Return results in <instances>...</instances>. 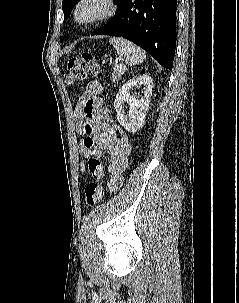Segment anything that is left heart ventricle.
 Listing matches in <instances>:
<instances>
[{
	"instance_id": "obj_1",
	"label": "left heart ventricle",
	"mask_w": 239,
	"mask_h": 303,
	"mask_svg": "<svg viewBox=\"0 0 239 303\" xmlns=\"http://www.w3.org/2000/svg\"><path fill=\"white\" fill-rule=\"evenodd\" d=\"M101 9V5L97 2L86 3L80 12V17L82 19H87L96 15Z\"/></svg>"
}]
</instances>
